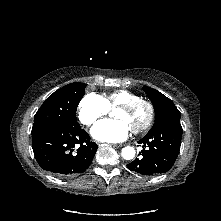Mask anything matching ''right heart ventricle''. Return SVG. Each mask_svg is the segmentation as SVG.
Listing matches in <instances>:
<instances>
[{"label":"right heart ventricle","instance_id":"e07e8e85","mask_svg":"<svg viewBox=\"0 0 221 221\" xmlns=\"http://www.w3.org/2000/svg\"><path fill=\"white\" fill-rule=\"evenodd\" d=\"M140 98L136 93L126 89H118L103 96L109 109Z\"/></svg>","mask_w":221,"mask_h":221}]
</instances>
